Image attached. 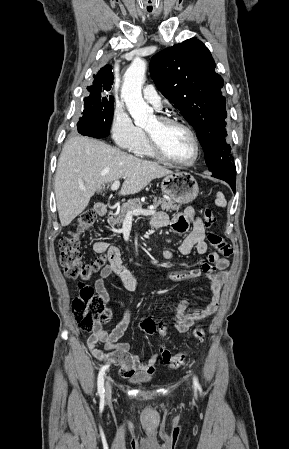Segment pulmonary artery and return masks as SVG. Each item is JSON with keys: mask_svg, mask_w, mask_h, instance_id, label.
I'll return each mask as SVG.
<instances>
[{"mask_svg": "<svg viewBox=\"0 0 289 449\" xmlns=\"http://www.w3.org/2000/svg\"><path fill=\"white\" fill-rule=\"evenodd\" d=\"M143 97L144 99L152 104L157 110L162 108L161 97L155 90L153 85H147L143 89Z\"/></svg>", "mask_w": 289, "mask_h": 449, "instance_id": "pulmonary-artery-1", "label": "pulmonary artery"}]
</instances>
